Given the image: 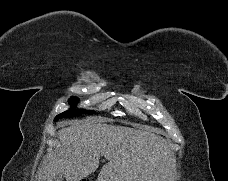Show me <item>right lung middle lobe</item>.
Masks as SVG:
<instances>
[{
	"instance_id": "right-lung-middle-lobe-1",
	"label": "right lung middle lobe",
	"mask_w": 228,
	"mask_h": 181,
	"mask_svg": "<svg viewBox=\"0 0 228 181\" xmlns=\"http://www.w3.org/2000/svg\"><path fill=\"white\" fill-rule=\"evenodd\" d=\"M77 102H78V99L75 98V97H72V98L69 99V103L71 105H75ZM82 113L94 114L95 112L94 111L84 110V109L76 110V109L73 108V109H70L68 111H65V112L57 115L55 117L54 121H58L61 118H70V117L78 116V115H81Z\"/></svg>"
}]
</instances>
